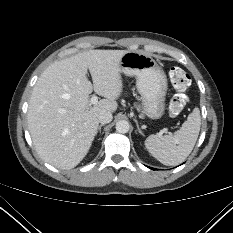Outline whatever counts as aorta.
Instances as JSON below:
<instances>
[{"label":"aorta","mask_w":233,"mask_h":233,"mask_svg":"<svg viewBox=\"0 0 233 233\" xmlns=\"http://www.w3.org/2000/svg\"><path fill=\"white\" fill-rule=\"evenodd\" d=\"M130 125L126 120H120L116 123V131L119 133H127L129 131Z\"/></svg>","instance_id":"aorta-1"}]
</instances>
